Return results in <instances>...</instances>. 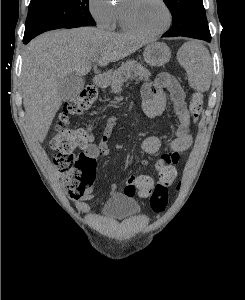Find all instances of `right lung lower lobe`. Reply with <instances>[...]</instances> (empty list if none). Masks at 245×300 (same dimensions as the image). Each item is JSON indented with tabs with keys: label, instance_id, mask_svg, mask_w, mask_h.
Here are the masks:
<instances>
[{
	"label": "right lung lower lobe",
	"instance_id": "obj_1",
	"mask_svg": "<svg viewBox=\"0 0 245 300\" xmlns=\"http://www.w3.org/2000/svg\"><path fill=\"white\" fill-rule=\"evenodd\" d=\"M30 40H31V39H29V38H24V39H23V42H24V44H27Z\"/></svg>",
	"mask_w": 245,
	"mask_h": 300
}]
</instances>
